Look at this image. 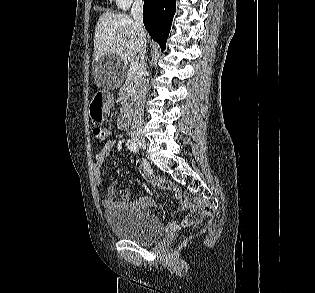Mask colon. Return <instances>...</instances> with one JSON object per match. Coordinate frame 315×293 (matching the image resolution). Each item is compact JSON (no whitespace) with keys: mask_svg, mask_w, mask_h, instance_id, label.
I'll list each match as a JSON object with an SVG mask.
<instances>
[{"mask_svg":"<svg viewBox=\"0 0 315 293\" xmlns=\"http://www.w3.org/2000/svg\"><path fill=\"white\" fill-rule=\"evenodd\" d=\"M93 135L98 140H105L108 136V132L106 128L102 126H96L93 129ZM199 209L205 216H211L214 212L213 206L208 202H199L198 203Z\"/></svg>","mask_w":315,"mask_h":293,"instance_id":"1","label":"colon"}]
</instances>
